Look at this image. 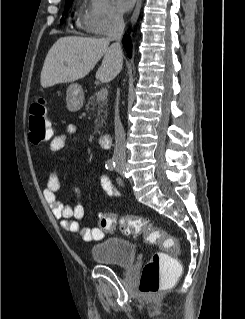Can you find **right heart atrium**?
Here are the masks:
<instances>
[{
    "mask_svg": "<svg viewBox=\"0 0 245 319\" xmlns=\"http://www.w3.org/2000/svg\"><path fill=\"white\" fill-rule=\"evenodd\" d=\"M122 16L110 0H89L82 17L81 26L92 35H106L117 29Z\"/></svg>",
    "mask_w": 245,
    "mask_h": 319,
    "instance_id": "right-heart-atrium-1",
    "label": "right heart atrium"
}]
</instances>
